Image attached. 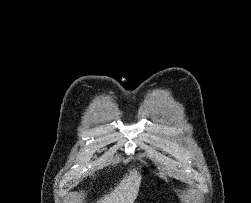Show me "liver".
<instances>
[{"label":"liver","instance_id":"liver-1","mask_svg":"<svg viewBox=\"0 0 251 203\" xmlns=\"http://www.w3.org/2000/svg\"><path fill=\"white\" fill-rule=\"evenodd\" d=\"M142 176L136 170H129V175L120 181L117 187L99 199L97 203H133L137 197Z\"/></svg>","mask_w":251,"mask_h":203}]
</instances>
